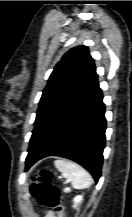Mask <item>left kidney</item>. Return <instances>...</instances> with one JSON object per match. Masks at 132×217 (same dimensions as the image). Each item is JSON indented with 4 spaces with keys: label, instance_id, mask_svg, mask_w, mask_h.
<instances>
[{
    "label": "left kidney",
    "instance_id": "5707ae66",
    "mask_svg": "<svg viewBox=\"0 0 132 217\" xmlns=\"http://www.w3.org/2000/svg\"><path fill=\"white\" fill-rule=\"evenodd\" d=\"M82 200V196H76L75 198H74V203H75V207L77 206V204L80 202Z\"/></svg>",
    "mask_w": 132,
    "mask_h": 217
}]
</instances>
